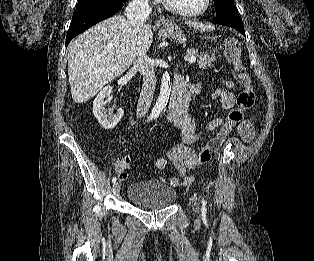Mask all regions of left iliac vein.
<instances>
[{"label":"left iliac vein","instance_id":"left-iliac-vein-1","mask_svg":"<svg viewBox=\"0 0 314 261\" xmlns=\"http://www.w3.org/2000/svg\"><path fill=\"white\" fill-rule=\"evenodd\" d=\"M191 201L194 203V210L195 212L199 213L200 208H199V203L197 201V197L195 195L191 196Z\"/></svg>","mask_w":314,"mask_h":261}]
</instances>
